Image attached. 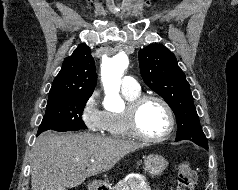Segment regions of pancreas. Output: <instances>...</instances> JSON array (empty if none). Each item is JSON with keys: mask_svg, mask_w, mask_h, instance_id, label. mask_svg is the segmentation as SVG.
I'll return each instance as SVG.
<instances>
[{"mask_svg": "<svg viewBox=\"0 0 238 190\" xmlns=\"http://www.w3.org/2000/svg\"><path fill=\"white\" fill-rule=\"evenodd\" d=\"M109 190H151L149 184L144 179L131 177L127 180H121Z\"/></svg>", "mask_w": 238, "mask_h": 190, "instance_id": "pancreas-1", "label": "pancreas"}]
</instances>
